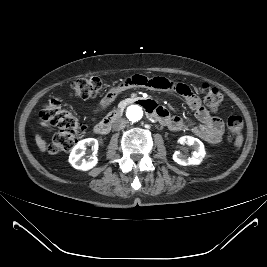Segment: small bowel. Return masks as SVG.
Segmentation results:
<instances>
[{"instance_id": "c3829d8e", "label": "small bowel", "mask_w": 267, "mask_h": 267, "mask_svg": "<svg viewBox=\"0 0 267 267\" xmlns=\"http://www.w3.org/2000/svg\"><path fill=\"white\" fill-rule=\"evenodd\" d=\"M132 87H145L179 95L188 107L194 111L199 124L192 127V132L199 138L209 143H219L224 134L223 121L211 115L202 105L199 96L185 83L169 80L164 77L148 78L141 75H133L110 88L101 101V107L109 106L122 92ZM159 121L173 131L186 128L184 120L179 116H171L162 107H158Z\"/></svg>"}]
</instances>
